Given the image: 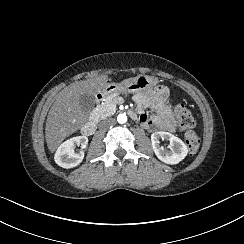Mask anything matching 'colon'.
Here are the masks:
<instances>
[{"label": "colon", "instance_id": "5ec220e1", "mask_svg": "<svg viewBox=\"0 0 244 244\" xmlns=\"http://www.w3.org/2000/svg\"><path fill=\"white\" fill-rule=\"evenodd\" d=\"M175 112L180 131L186 135L189 153L196 154L200 147V140L193 131L195 127L193 114L190 110L183 107H178Z\"/></svg>", "mask_w": 244, "mask_h": 244}]
</instances>
